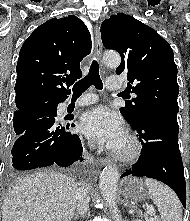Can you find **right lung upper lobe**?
I'll return each instance as SVG.
<instances>
[{"label":"right lung upper lobe","mask_w":190,"mask_h":221,"mask_svg":"<svg viewBox=\"0 0 190 221\" xmlns=\"http://www.w3.org/2000/svg\"><path fill=\"white\" fill-rule=\"evenodd\" d=\"M91 51V36L76 16L53 18L24 42L16 67L15 113L65 100L82 77L80 62Z\"/></svg>","instance_id":"obj_1"}]
</instances>
